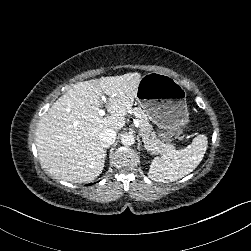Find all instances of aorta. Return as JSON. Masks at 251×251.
I'll list each match as a JSON object with an SVG mask.
<instances>
[{
	"instance_id": "1",
	"label": "aorta",
	"mask_w": 251,
	"mask_h": 251,
	"mask_svg": "<svg viewBox=\"0 0 251 251\" xmlns=\"http://www.w3.org/2000/svg\"><path fill=\"white\" fill-rule=\"evenodd\" d=\"M135 142V137L133 134L130 133H124L121 135V143L124 146H131Z\"/></svg>"
}]
</instances>
